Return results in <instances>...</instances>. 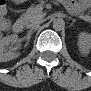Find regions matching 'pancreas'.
<instances>
[{
  "label": "pancreas",
  "mask_w": 91,
  "mask_h": 91,
  "mask_svg": "<svg viewBox=\"0 0 91 91\" xmlns=\"http://www.w3.org/2000/svg\"><path fill=\"white\" fill-rule=\"evenodd\" d=\"M70 7L73 10L74 15H79L80 18H83L86 21H90V16L88 15H82L80 12L77 11L76 7L74 5H70ZM43 16L42 7L40 6H31L27 9V12L23 14L21 19L25 22L26 25L40 19Z\"/></svg>",
  "instance_id": "1"
}]
</instances>
